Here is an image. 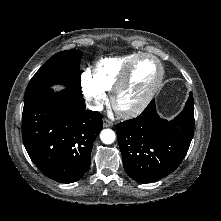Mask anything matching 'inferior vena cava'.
Masks as SVG:
<instances>
[{"label":"inferior vena cava","instance_id":"inferior-vena-cava-1","mask_svg":"<svg viewBox=\"0 0 221 221\" xmlns=\"http://www.w3.org/2000/svg\"><path fill=\"white\" fill-rule=\"evenodd\" d=\"M87 107L90 110H94V111H101L103 109V106L101 104H96V105L87 104Z\"/></svg>","mask_w":221,"mask_h":221}]
</instances>
